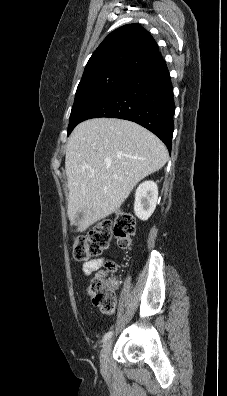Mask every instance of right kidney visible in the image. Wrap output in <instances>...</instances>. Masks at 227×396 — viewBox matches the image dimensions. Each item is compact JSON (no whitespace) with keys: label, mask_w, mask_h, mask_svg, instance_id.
I'll return each instance as SVG.
<instances>
[{"label":"right kidney","mask_w":227,"mask_h":396,"mask_svg":"<svg viewBox=\"0 0 227 396\" xmlns=\"http://www.w3.org/2000/svg\"><path fill=\"white\" fill-rule=\"evenodd\" d=\"M157 199V184L153 181H145L141 183L135 193V215L141 220H147L156 208Z\"/></svg>","instance_id":"right-kidney-1"}]
</instances>
